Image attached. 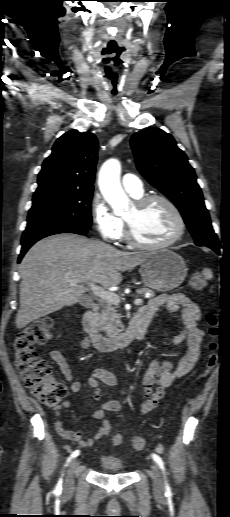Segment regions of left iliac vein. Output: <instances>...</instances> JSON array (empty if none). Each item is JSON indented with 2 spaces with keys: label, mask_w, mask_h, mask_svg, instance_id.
<instances>
[{
  "label": "left iliac vein",
  "mask_w": 230,
  "mask_h": 517,
  "mask_svg": "<svg viewBox=\"0 0 230 517\" xmlns=\"http://www.w3.org/2000/svg\"><path fill=\"white\" fill-rule=\"evenodd\" d=\"M151 477L155 494L162 496L164 494V485L160 469L156 463L151 464Z\"/></svg>",
  "instance_id": "4c4485c4"
}]
</instances>
